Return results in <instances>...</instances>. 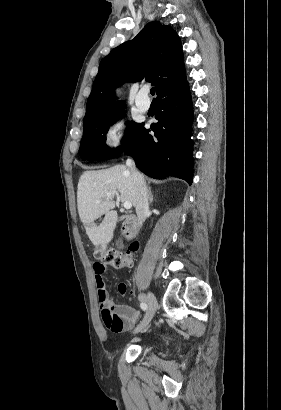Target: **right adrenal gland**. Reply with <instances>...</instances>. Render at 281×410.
<instances>
[{"mask_svg": "<svg viewBox=\"0 0 281 410\" xmlns=\"http://www.w3.org/2000/svg\"><path fill=\"white\" fill-rule=\"evenodd\" d=\"M148 195H149V203L151 204L153 202V195H152L150 188L148 189Z\"/></svg>", "mask_w": 281, "mask_h": 410, "instance_id": "1", "label": "right adrenal gland"}]
</instances>
